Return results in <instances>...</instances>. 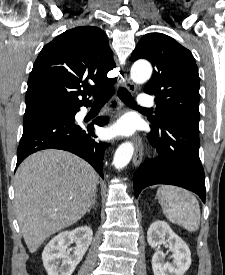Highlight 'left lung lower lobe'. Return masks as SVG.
Instances as JSON below:
<instances>
[{
	"label": "left lung lower lobe",
	"mask_w": 225,
	"mask_h": 275,
	"mask_svg": "<svg viewBox=\"0 0 225 275\" xmlns=\"http://www.w3.org/2000/svg\"><path fill=\"white\" fill-rule=\"evenodd\" d=\"M148 140L156 147L158 156L145 160L137 170L134 192L137 198L147 186L170 184L195 192L205 203V175L199 158V129L164 122L151 127Z\"/></svg>",
	"instance_id": "0a47b994"
}]
</instances>
